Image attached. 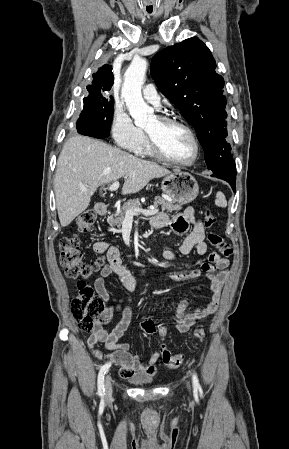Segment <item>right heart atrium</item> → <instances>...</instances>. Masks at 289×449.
<instances>
[{
    "instance_id": "d8ad5b80",
    "label": "right heart atrium",
    "mask_w": 289,
    "mask_h": 449,
    "mask_svg": "<svg viewBox=\"0 0 289 449\" xmlns=\"http://www.w3.org/2000/svg\"><path fill=\"white\" fill-rule=\"evenodd\" d=\"M111 133L116 145L129 151L136 152L144 140L143 131L120 106L115 107L113 111Z\"/></svg>"
}]
</instances>
